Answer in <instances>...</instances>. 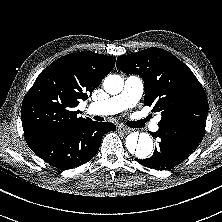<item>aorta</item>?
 I'll return each mask as SVG.
<instances>
[{
    "label": "aorta",
    "mask_w": 222,
    "mask_h": 222,
    "mask_svg": "<svg viewBox=\"0 0 222 222\" xmlns=\"http://www.w3.org/2000/svg\"><path fill=\"white\" fill-rule=\"evenodd\" d=\"M124 86L123 79L118 75H109L103 82L104 90L111 95L119 94ZM126 148L133 157L147 158L153 150V140L146 133H132L126 138Z\"/></svg>",
    "instance_id": "obj_1"
}]
</instances>
